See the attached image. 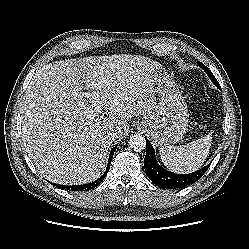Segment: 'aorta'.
I'll return each instance as SVG.
<instances>
[{"instance_id": "obj_1", "label": "aorta", "mask_w": 249, "mask_h": 249, "mask_svg": "<svg viewBox=\"0 0 249 249\" xmlns=\"http://www.w3.org/2000/svg\"><path fill=\"white\" fill-rule=\"evenodd\" d=\"M128 145L132 150L140 152L146 147V140L140 134L132 135L129 139Z\"/></svg>"}]
</instances>
